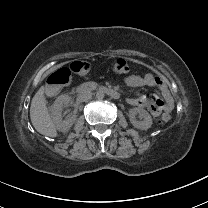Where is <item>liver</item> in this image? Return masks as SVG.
I'll return each instance as SVG.
<instances>
[{
    "label": "liver",
    "mask_w": 208,
    "mask_h": 208,
    "mask_svg": "<svg viewBox=\"0 0 208 208\" xmlns=\"http://www.w3.org/2000/svg\"><path fill=\"white\" fill-rule=\"evenodd\" d=\"M45 96V86H41L32 98L30 105V119L35 130L41 135L56 138L57 129L49 114Z\"/></svg>",
    "instance_id": "liver-1"
}]
</instances>
